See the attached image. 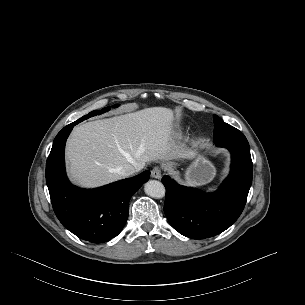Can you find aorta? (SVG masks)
Here are the masks:
<instances>
[{"label":"aorta","mask_w":305,"mask_h":305,"mask_svg":"<svg viewBox=\"0 0 305 305\" xmlns=\"http://www.w3.org/2000/svg\"><path fill=\"white\" fill-rule=\"evenodd\" d=\"M145 193L153 198H162L165 196L164 185L157 180H149L144 186Z\"/></svg>","instance_id":"obj_1"}]
</instances>
